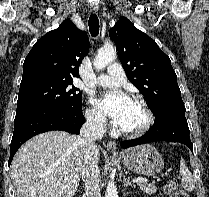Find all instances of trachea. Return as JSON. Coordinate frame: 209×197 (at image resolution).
<instances>
[{
  "mask_svg": "<svg viewBox=\"0 0 209 197\" xmlns=\"http://www.w3.org/2000/svg\"><path fill=\"white\" fill-rule=\"evenodd\" d=\"M89 31L93 37L99 34V19L96 14H91L89 17Z\"/></svg>",
  "mask_w": 209,
  "mask_h": 197,
  "instance_id": "obj_1",
  "label": "trachea"
}]
</instances>
